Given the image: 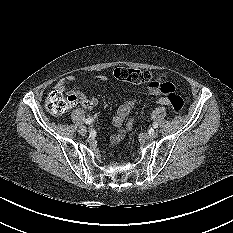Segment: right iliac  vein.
<instances>
[{"label":"right iliac vein","instance_id":"1","mask_svg":"<svg viewBox=\"0 0 233 233\" xmlns=\"http://www.w3.org/2000/svg\"><path fill=\"white\" fill-rule=\"evenodd\" d=\"M78 132H79L81 135H86V134H87V128H86L85 126H81V127H79Z\"/></svg>","mask_w":233,"mask_h":233}]
</instances>
